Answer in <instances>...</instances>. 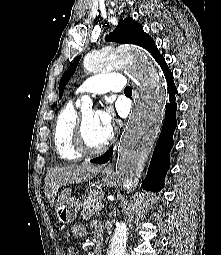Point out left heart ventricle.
I'll use <instances>...</instances> for the list:
<instances>
[{
	"mask_svg": "<svg viewBox=\"0 0 221 255\" xmlns=\"http://www.w3.org/2000/svg\"><path fill=\"white\" fill-rule=\"evenodd\" d=\"M84 132L86 141L92 148L103 145L110 135V132L99 122L97 113L91 110L84 114Z\"/></svg>",
	"mask_w": 221,
	"mask_h": 255,
	"instance_id": "1",
	"label": "left heart ventricle"
}]
</instances>
